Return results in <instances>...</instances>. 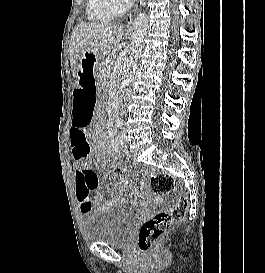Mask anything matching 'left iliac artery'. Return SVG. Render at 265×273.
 <instances>
[{
	"label": "left iliac artery",
	"instance_id": "1",
	"mask_svg": "<svg viewBox=\"0 0 265 273\" xmlns=\"http://www.w3.org/2000/svg\"><path fill=\"white\" fill-rule=\"evenodd\" d=\"M123 125H124V123H123L122 121H118V122H117V127L122 128V127H123Z\"/></svg>",
	"mask_w": 265,
	"mask_h": 273
}]
</instances>
